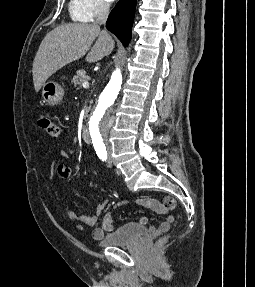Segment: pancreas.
Returning a JSON list of instances; mask_svg holds the SVG:
<instances>
[{
  "label": "pancreas",
  "mask_w": 255,
  "mask_h": 287,
  "mask_svg": "<svg viewBox=\"0 0 255 287\" xmlns=\"http://www.w3.org/2000/svg\"><path fill=\"white\" fill-rule=\"evenodd\" d=\"M89 80L90 78L89 76H86V72H84V70H78V72H76V76H73L72 78V84H74V88H76V90H79L80 86H82L84 82H89Z\"/></svg>",
  "instance_id": "pancreas-1"
}]
</instances>
